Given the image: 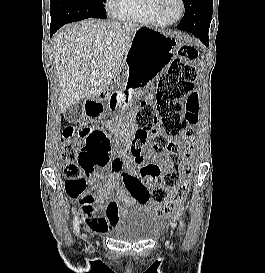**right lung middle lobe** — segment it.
I'll list each match as a JSON object with an SVG mask.
<instances>
[{
	"instance_id": "1",
	"label": "right lung middle lobe",
	"mask_w": 265,
	"mask_h": 273,
	"mask_svg": "<svg viewBox=\"0 0 265 273\" xmlns=\"http://www.w3.org/2000/svg\"><path fill=\"white\" fill-rule=\"evenodd\" d=\"M106 0H50L51 27L86 18H106Z\"/></svg>"
}]
</instances>
